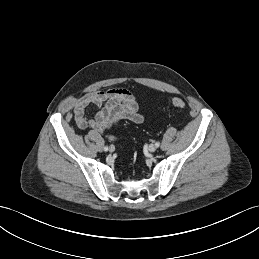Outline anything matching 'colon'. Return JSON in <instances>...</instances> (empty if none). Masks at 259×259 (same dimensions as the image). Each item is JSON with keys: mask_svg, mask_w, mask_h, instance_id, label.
Segmentation results:
<instances>
[{"mask_svg": "<svg viewBox=\"0 0 259 259\" xmlns=\"http://www.w3.org/2000/svg\"><path fill=\"white\" fill-rule=\"evenodd\" d=\"M171 104L179 110H184L186 108V103L180 98H173L171 100Z\"/></svg>", "mask_w": 259, "mask_h": 259, "instance_id": "obj_1", "label": "colon"}]
</instances>
